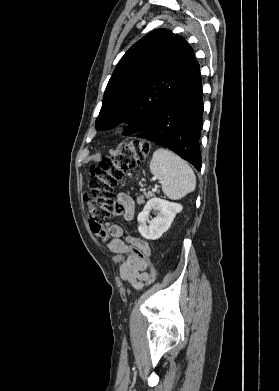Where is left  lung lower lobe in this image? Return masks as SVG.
I'll list each match as a JSON object with an SVG mask.
<instances>
[{
    "instance_id": "obj_1",
    "label": "left lung lower lobe",
    "mask_w": 279,
    "mask_h": 391,
    "mask_svg": "<svg viewBox=\"0 0 279 391\" xmlns=\"http://www.w3.org/2000/svg\"><path fill=\"white\" fill-rule=\"evenodd\" d=\"M202 94L198 67L185 86L161 109L153 123L137 137L171 149L200 170Z\"/></svg>"
}]
</instances>
